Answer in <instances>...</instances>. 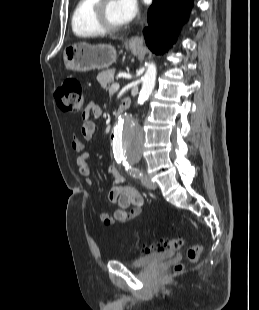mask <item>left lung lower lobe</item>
<instances>
[{
    "mask_svg": "<svg viewBox=\"0 0 259 310\" xmlns=\"http://www.w3.org/2000/svg\"><path fill=\"white\" fill-rule=\"evenodd\" d=\"M193 0H154L144 29L147 46L162 54L175 42L181 25L187 20Z\"/></svg>",
    "mask_w": 259,
    "mask_h": 310,
    "instance_id": "0a47b994",
    "label": "left lung lower lobe"
}]
</instances>
